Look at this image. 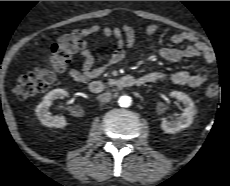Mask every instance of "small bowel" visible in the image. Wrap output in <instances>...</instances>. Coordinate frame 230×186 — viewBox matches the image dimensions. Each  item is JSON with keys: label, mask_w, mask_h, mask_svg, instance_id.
Listing matches in <instances>:
<instances>
[{"label": "small bowel", "mask_w": 230, "mask_h": 186, "mask_svg": "<svg viewBox=\"0 0 230 186\" xmlns=\"http://www.w3.org/2000/svg\"><path fill=\"white\" fill-rule=\"evenodd\" d=\"M159 31L160 27L156 24L149 25L146 29V33L149 36L155 35ZM98 32H102L107 38H113L116 41V47L108 58L106 65L100 67H95V58L92 52L88 48L82 49L80 52V55L83 58L81 68L67 69V74L76 82L87 83L90 80L97 78L103 73L106 66L117 64L122 61L126 54V48L133 46L136 42V33L131 26L107 27L93 25L81 30L83 35H91ZM169 39L174 44L189 42L190 45L184 48H159L157 49V52L161 58L170 62H178L187 58L200 57L209 68L214 66L216 62L214 52L211 48L200 42L196 35L188 32H179L172 34ZM141 77L143 78L144 83L170 80L176 84L199 87L211 77V71L209 69L199 74H194L187 70L177 71L172 74L152 71Z\"/></svg>", "instance_id": "small-bowel-1"}]
</instances>
